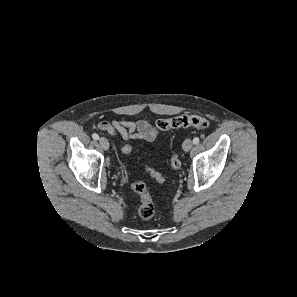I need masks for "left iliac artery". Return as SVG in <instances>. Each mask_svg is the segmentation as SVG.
<instances>
[{
    "label": "left iliac artery",
    "mask_w": 297,
    "mask_h": 297,
    "mask_svg": "<svg viewBox=\"0 0 297 297\" xmlns=\"http://www.w3.org/2000/svg\"><path fill=\"white\" fill-rule=\"evenodd\" d=\"M199 143V138L198 137H195L194 139H193V144H198Z\"/></svg>",
    "instance_id": "obj_1"
}]
</instances>
